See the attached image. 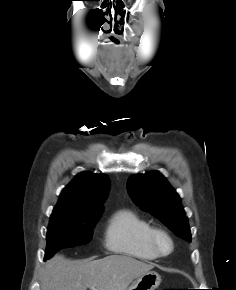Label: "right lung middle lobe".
I'll list each match as a JSON object with an SVG mask.
<instances>
[{
	"label": "right lung middle lobe",
	"instance_id": "dd1d6c3e",
	"mask_svg": "<svg viewBox=\"0 0 236 290\" xmlns=\"http://www.w3.org/2000/svg\"><path fill=\"white\" fill-rule=\"evenodd\" d=\"M100 213L84 216L51 215L45 260L62 248L88 244Z\"/></svg>",
	"mask_w": 236,
	"mask_h": 290
}]
</instances>
